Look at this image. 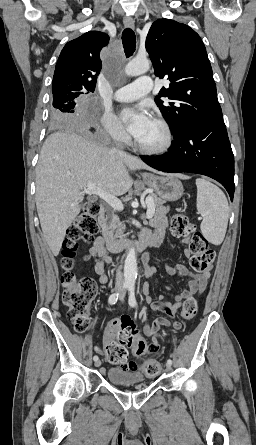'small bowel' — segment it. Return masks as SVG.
Returning <instances> with one entry per match:
<instances>
[{"instance_id": "obj_1", "label": "small bowel", "mask_w": 256, "mask_h": 445, "mask_svg": "<svg viewBox=\"0 0 256 445\" xmlns=\"http://www.w3.org/2000/svg\"><path fill=\"white\" fill-rule=\"evenodd\" d=\"M167 226L166 219V210L160 209L151 222V228L153 230V234L150 230L143 231L142 235H148L152 238L154 246H160L165 239ZM90 256L96 261L95 263V273L99 276L100 282L105 284L108 282V276L106 274V265L112 263V258L108 254L104 240L102 237L98 236L95 238L93 246L89 250ZM185 256L189 257L190 252L185 251ZM148 258V255H146ZM167 271L174 276H183L187 277V289L180 292L176 297L173 303L166 300L164 295H160L156 301L150 302V308L153 311L160 312L165 314L171 318H174L178 313L179 309L182 306L183 301L189 296H200L206 289L207 281L210 277L209 272H194L188 269L183 264H177L174 266H168ZM156 269L152 266H148L146 268V276L151 277L155 275ZM169 288V287H167ZM119 320L114 319L108 323L105 328L104 336H103V344L104 347L110 343L115 341V336L118 332ZM171 327L173 329H180L181 324L177 321H169L165 318H157L152 324L144 325V333L145 335L151 337V342L147 344V351H157L160 348L159 336L162 331V327ZM98 352H101L99 348H97ZM147 353V352H146ZM145 353V354H146ZM120 368L129 369V370H137L138 365L133 361H125L120 364Z\"/></svg>"}]
</instances>
